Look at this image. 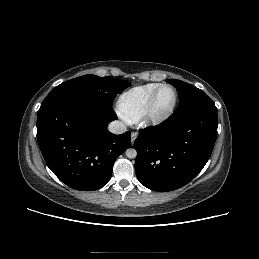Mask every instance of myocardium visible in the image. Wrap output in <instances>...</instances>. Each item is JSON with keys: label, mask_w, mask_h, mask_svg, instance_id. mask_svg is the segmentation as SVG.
Masks as SVG:
<instances>
[{"label": "myocardium", "mask_w": 259, "mask_h": 259, "mask_svg": "<svg viewBox=\"0 0 259 259\" xmlns=\"http://www.w3.org/2000/svg\"><path fill=\"white\" fill-rule=\"evenodd\" d=\"M169 88L173 92V101L171 105L164 111H157L156 110V100L161 92V90ZM178 102V93L177 90L170 84H162L160 85L153 95L151 96L149 103L146 107L145 112L141 116V122L146 127H157L163 124L170 116L174 113L175 108Z\"/></svg>", "instance_id": "1"}]
</instances>
